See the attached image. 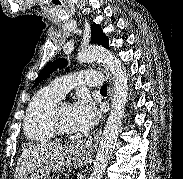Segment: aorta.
I'll list each match as a JSON object with an SVG mask.
<instances>
[{
  "instance_id": "obj_1",
  "label": "aorta",
  "mask_w": 183,
  "mask_h": 179,
  "mask_svg": "<svg viewBox=\"0 0 183 179\" xmlns=\"http://www.w3.org/2000/svg\"><path fill=\"white\" fill-rule=\"evenodd\" d=\"M96 60L109 67L114 77V88L110 115L103 131L94 161L93 172L89 179H102L108 161L115 149L128 97L126 70L123 68L121 61L112 52L99 46H89L82 49L77 55V61L80 63Z\"/></svg>"
}]
</instances>
